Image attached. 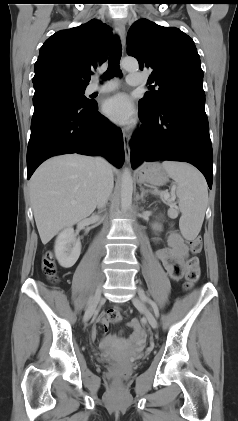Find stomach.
Segmentation results:
<instances>
[{
	"mask_svg": "<svg viewBox=\"0 0 238 421\" xmlns=\"http://www.w3.org/2000/svg\"><path fill=\"white\" fill-rule=\"evenodd\" d=\"M138 178L142 182L149 183L153 186H162L167 183L168 175L158 162L145 164L138 171Z\"/></svg>",
	"mask_w": 238,
	"mask_h": 421,
	"instance_id": "1",
	"label": "stomach"
}]
</instances>
